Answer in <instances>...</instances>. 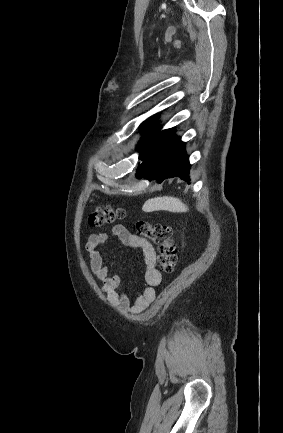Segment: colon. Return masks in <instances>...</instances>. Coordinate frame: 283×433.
I'll return each instance as SVG.
<instances>
[{
	"instance_id": "5ec220e1",
	"label": "colon",
	"mask_w": 283,
	"mask_h": 433,
	"mask_svg": "<svg viewBox=\"0 0 283 433\" xmlns=\"http://www.w3.org/2000/svg\"><path fill=\"white\" fill-rule=\"evenodd\" d=\"M125 216L126 212L124 209L106 206L91 212L88 217V223L92 227L102 228L125 218ZM134 225L139 236L147 238L157 245L161 269L166 273H172L178 261L177 247L173 240L172 228L168 225L145 220H136Z\"/></svg>"
}]
</instances>
